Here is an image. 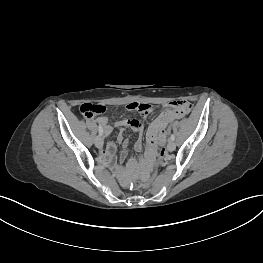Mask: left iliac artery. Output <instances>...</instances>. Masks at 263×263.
I'll return each instance as SVG.
<instances>
[{
	"mask_svg": "<svg viewBox=\"0 0 263 263\" xmlns=\"http://www.w3.org/2000/svg\"><path fill=\"white\" fill-rule=\"evenodd\" d=\"M170 139H171L172 141H174V140H175V136L172 134V135L170 136Z\"/></svg>",
	"mask_w": 263,
	"mask_h": 263,
	"instance_id": "obj_1",
	"label": "left iliac artery"
}]
</instances>
